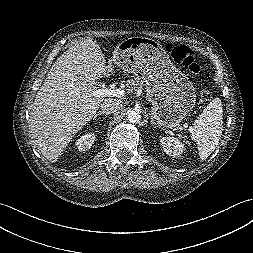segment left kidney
Listing matches in <instances>:
<instances>
[{"label": "left kidney", "instance_id": "5707ae66", "mask_svg": "<svg viewBox=\"0 0 253 253\" xmlns=\"http://www.w3.org/2000/svg\"><path fill=\"white\" fill-rule=\"evenodd\" d=\"M161 147L169 156L177 157L183 153L184 145L175 137H162Z\"/></svg>", "mask_w": 253, "mask_h": 253}]
</instances>
